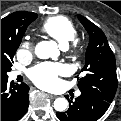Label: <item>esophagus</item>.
I'll return each mask as SVG.
<instances>
[{
    "mask_svg": "<svg viewBox=\"0 0 121 121\" xmlns=\"http://www.w3.org/2000/svg\"><path fill=\"white\" fill-rule=\"evenodd\" d=\"M48 97H49L50 99H55L57 96H56V95H53V94H48Z\"/></svg>",
    "mask_w": 121,
    "mask_h": 121,
    "instance_id": "1",
    "label": "esophagus"
}]
</instances>
